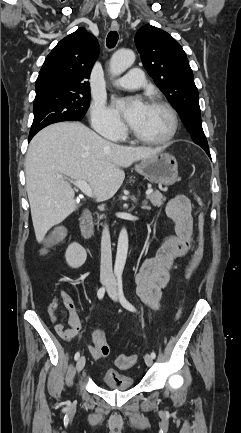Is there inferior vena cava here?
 Returning <instances> with one entry per match:
<instances>
[{
  "label": "inferior vena cava",
  "mask_w": 241,
  "mask_h": 433,
  "mask_svg": "<svg viewBox=\"0 0 241 433\" xmlns=\"http://www.w3.org/2000/svg\"><path fill=\"white\" fill-rule=\"evenodd\" d=\"M100 279L113 281L111 239L108 226L105 225L101 238Z\"/></svg>",
  "instance_id": "1"
}]
</instances>
